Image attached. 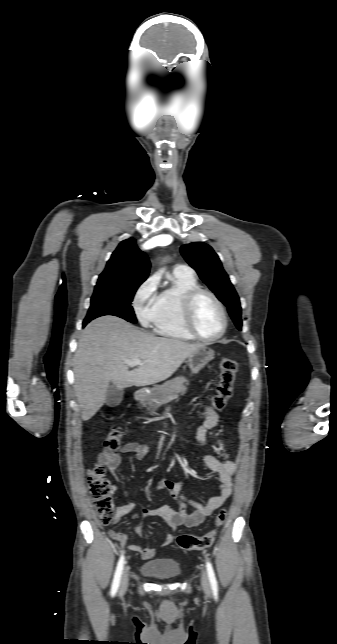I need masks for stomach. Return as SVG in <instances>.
Wrapping results in <instances>:
<instances>
[{"label": "stomach", "instance_id": "0dacf381", "mask_svg": "<svg viewBox=\"0 0 337 644\" xmlns=\"http://www.w3.org/2000/svg\"><path fill=\"white\" fill-rule=\"evenodd\" d=\"M214 358V351L203 345L196 352L188 357V366L192 373H198L202 368Z\"/></svg>", "mask_w": 337, "mask_h": 644}]
</instances>
